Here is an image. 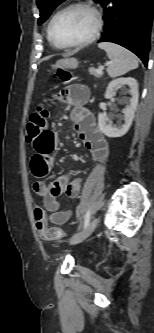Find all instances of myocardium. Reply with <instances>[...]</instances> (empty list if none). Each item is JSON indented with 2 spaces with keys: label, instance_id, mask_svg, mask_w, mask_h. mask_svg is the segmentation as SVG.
I'll use <instances>...</instances> for the list:
<instances>
[{
  "label": "myocardium",
  "instance_id": "myocardium-1",
  "mask_svg": "<svg viewBox=\"0 0 154 333\" xmlns=\"http://www.w3.org/2000/svg\"><path fill=\"white\" fill-rule=\"evenodd\" d=\"M74 8H82V9H86L87 11H89L92 14L93 17V21H94V27H93V31L91 33V35L89 37H87L84 40H81L79 42L73 43V44H68V45H63L57 42V40L55 39L54 35H53V24L55 22V20L64 12L70 10V9H74ZM102 30V17L100 12L98 11V9L93 6L92 4L88 3V2H73L70 3L64 7H62L61 9H59L50 19L49 24H48V36L49 39L51 41V43L59 48V49H75V48H79V47H83L86 46L88 44H91L92 42H94L100 35Z\"/></svg>",
  "mask_w": 154,
  "mask_h": 333
}]
</instances>
